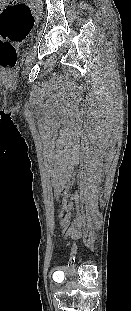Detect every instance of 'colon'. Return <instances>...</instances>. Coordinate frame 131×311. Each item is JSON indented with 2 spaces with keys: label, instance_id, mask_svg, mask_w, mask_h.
Instances as JSON below:
<instances>
[{
  "label": "colon",
  "instance_id": "colon-1",
  "mask_svg": "<svg viewBox=\"0 0 131 311\" xmlns=\"http://www.w3.org/2000/svg\"><path fill=\"white\" fill-rule=\"evenodd\" d=\"M34 25L30 7L16 0H0V71L16 63L15 42L23 41Z\"/></svg>",
  "mask_w": 131,
  "mask_h": 311
}]
</instances>
